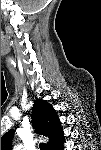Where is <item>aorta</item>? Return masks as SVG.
<instances>
[{
  "instance_id": "762f6f07",
  "label": "aorta",
  "mask_w": 101,
  "mask_h": 150,
  "mask_svg": "<svg viewBox=\"0 0 101 150\" xmlns=\"http://www.w3.org/2000/svg\"><path fill=\"white\" fill-rule=\"evenodd\" d=\"M22 148V146L21 145H17V146H15V149L16 150H20Z\"/></svg>"
}]
</instances>
